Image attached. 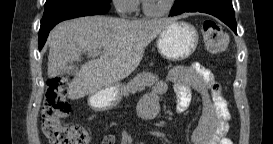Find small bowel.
I'll list each match as a JSON object with an SVG mask.
<instances>
[{"mask_svg": "<svg viewBox=\"0 0 273 144\" xmlns=\"http://www.w3.org/2000/svg\"><path fill=\"white\" fill-rule=\"evenodd\" d=\"M169 83L176 84L175 106L179 113L184 112L191 102V90L198 91L203 100V112L191 142L194 144H226L224 138L229 129L230 112L222 94V88L213 72L208 68L192 66L174 67L166 77L159 80L138 105V114L145 120L154 119L160 112V96ZM102 144H115L116 138L106 136Z\"/></svg>", "mask_w": 273, "mask_h": 144, "instance_id": "obj_1", "label": "small bowel"}]
</instances>
